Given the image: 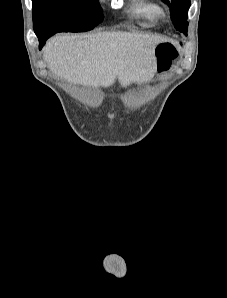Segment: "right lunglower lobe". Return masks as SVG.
I'll use <instances>...</instances> for the list:
<instances>
[{
    "label": "right lung lower lobe",
    "mask_w": 227,
    "mask_h": 298,
    "mask_svg": "<svg viewBox=\"0 0 227 298\" xmlns=\"http://www.w3.org/2000/svg\"><path fill=\"white\" fill-rule=\"evenodd\" d=\"M57 32H58L57 30H52V31L47 32V33L38 34L37 37H38V39H39V49H41V48L44 46L46 40H47L50 36H52L53 34H55V33H57Z\"/></svg>",
    "instance_id": "1"
}]
</instances>
